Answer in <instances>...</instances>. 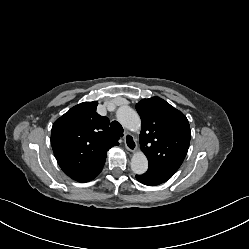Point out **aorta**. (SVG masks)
Listing matches in <instances>:
<instances>
[{
    "label": "aorta",
    "mask_w": 249,
    "mask_h": 249,
    "mask_svg": "<svg viewBox=\"0 0 249 249\" xmlns=\"http://www.w3.org/2000/svg\"><path fill=\"white\" fill-rule=\"evenodd\" d=\"M117 121L131 131H137L141 127V120L138 113L129 106H121L116 112ZM148 169V160L141 151L133 154L131 159V170L133 173L141 175Z\"/></svg>",
    "instance_id": "1"
}]
</instances>
